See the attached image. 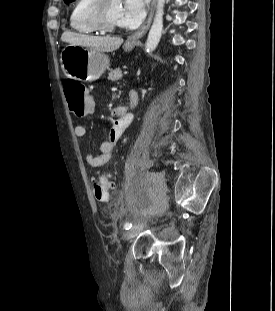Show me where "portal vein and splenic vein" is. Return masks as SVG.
Masks as SVG:
<instances>
[{
	"instance_id": "obj_1",
	"label": "portal vein and splenic vein",
	"mask_w": 275,
	"mask_h": 311,
	"mask_svg": "<svg viewBox=\"0 0 275 311\" xmlns=\"http://www.w3.org/2000/svg\"><path fill=\"white\" fill-rule=\"evenodd\" d=\"M128 74V71H124V75Z\"/></svg>"
}]
</instances>
